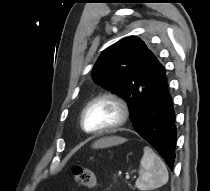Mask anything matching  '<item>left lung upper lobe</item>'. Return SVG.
Listing matches in <instances>:
<instances>
[{
	"label": "left lung upper lobe",
	"mask_w": 210,
	"mask_h": 191,
	"mask_svg": "<svg viewBox=\"0 0 210 191\" xmlns=\"http://www.w3.org/2000/svg\"><path fill=\"white\" fill-rule=\"evenodd\" d=\"M163 68L156 53L136 36L125 37L105 49L92 71L93 79L125 99L132 122L138 106L156 85V73Z\"/></svg>",
	"instance_id": "obj_1"
}]
</instances>
